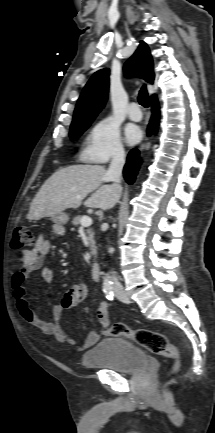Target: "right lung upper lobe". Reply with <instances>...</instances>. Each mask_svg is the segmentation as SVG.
<instances>
[{
	"label": "right lung upper lobe",
	"instance_id": "obj_1",
	"mask_svg": "<svg viewBox=\"0 0 215 433\" xmlns=\"http://www.w3.org/2000/svg\"><path fill=\"white\" fill-rule=\"evenodd\" d=\"M126 76H137L152 83L154 80L153 61L147 44L140 42L133 56L125 63ZM109 70L101 69L94 73L78 99L73 123L94 120L104 107L109 87Z\"/></svg>",
	"mask_w": 215,
	"mask_h": 433
}]
</instances>
